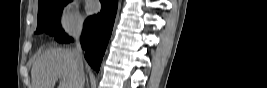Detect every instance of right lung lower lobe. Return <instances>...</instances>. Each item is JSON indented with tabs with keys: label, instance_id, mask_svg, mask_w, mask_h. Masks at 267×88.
Wrapping results in <instances>:
<instances>
[{
	"label": "right lung lower lobe",
	"instance_id": "right-lung-lower-lobe-1",
	"mask_svg": "<svg viewBox=\"0 0 267 88\" xmlns=\"http://www.w3.org/2000/svg\"><path fill=\"white\" fill-rule=\"evenodd\" d=\"M102 4L101 13L89 17L84 24L81 44L86 49L85 58L90 66L99 72L101 61L111 36L114 19L117 11V0H100ZM58 42L69 43L73 41L62 33L56 37Z\"/></svg>",
	"mask_w": 267,
	"mask_h": 88
}]
</instances>
